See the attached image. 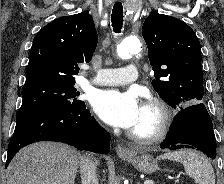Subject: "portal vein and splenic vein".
<instances>
[{
	"mask_svg": "<svg viewBox=\"0 0 224 184\" xmlns=\"http://www.w3.org/2000/svg\"><path fill=\"white\" fill-rule=\"evenodd\" d=\"M144 184H154V182H153L152 180H146V181L144 182Z\"/></svg>",
	"mask_w": 224,
	"mask_h": 184,
	"instance_id": "obj_1",
	"label": "portal vein and splenic vein"
}]
</instances>
